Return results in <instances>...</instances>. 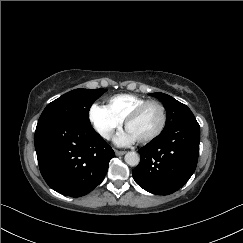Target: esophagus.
<instances>
[{
  "mask_svg": "<svg viewBox=\"0 0 243 243\" xmlns=\"http://www.w3.org/2000/svg\"><path fill=\"white\" fill-rule=\"evenodd\" d=\"M126 153V151L115 150L116 156H122Z\"/></svg>",
  "mask_w": 243,
  "mask_h": 243,
  "instance_id": "obj_1",
  "label": "esophagus"
}]
</instances>
